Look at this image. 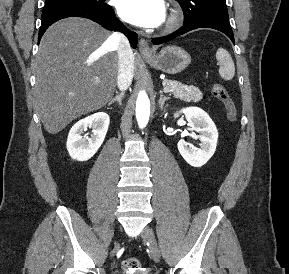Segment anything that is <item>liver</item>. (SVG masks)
<instances>
[{
	"label": "liver",
	"mask_w": 289,
	"mask_h": 274,
	"mask_svg": "<svg viewBox=\"0 0 289 274\" xmlns=\"http://www.w3.org/2000/svg\"><path fill=\"white\" fill-rule=\"evenodd\" d=\"M111 36L81 18L63 19L43 35L34 63V98L48 133H59L74 119L101 109L112 99L119 59Z\"/></svg>",
	"instance_id": "liver-1"
}]
</instances>
